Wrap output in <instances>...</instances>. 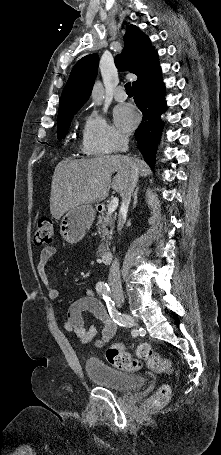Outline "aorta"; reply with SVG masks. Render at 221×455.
<instances>
[{"label": "aorta", "mask_w": 221, "mask_h": 455, "mask_svg": "<svg viewBox=\"0 0 221 455\" xmlns=\"http://www.w3.org/2000/svg\"><path fill=\"white\" fill-rule=\"evenodd\" d=\"M103 95H104V89H103L102 83L100 81H97L94 84L91 97L97 105H101L102 100H103Z\"/></svg>", "instance_id": "762f6f07"}]
</instances>
